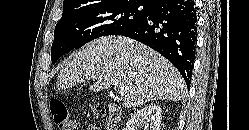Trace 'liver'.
<instances>
[{"label":"liver","instance_id":"1","mask_svg":"<svg viewBox=\"0 0 249 130\" xmlns=\"http://www.w3.org/2000/svg\"><path fill=\"white\" fill-rule=\"evenodd\" d=\"M93 91L124 86L123 106L137 107L152 100L178 101L186 86L178 70L153 49L122 36H105L73 53L63 64L57 87L67 89L84 80Z\"/></svg>","mask_w":249,"mask_h":130}]
</instances>
